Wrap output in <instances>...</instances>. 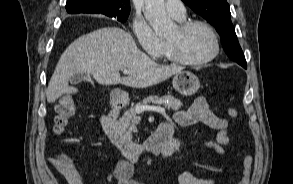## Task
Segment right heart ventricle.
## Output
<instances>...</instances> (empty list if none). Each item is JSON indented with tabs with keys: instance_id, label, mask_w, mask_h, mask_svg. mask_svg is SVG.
I'll use <instances>...</instances> for the list:
<instances>
[{
	"instance_id": "e07e8e85",
	"label": "right heart ventricle",
	"mask_w": 293,
	"mask_h": 184,
	"mask_svg": "<svg viewBox=\"0 0 293 184\" xmlns=\"http://www.w3.org/2000/svg\"><path fill=\"white\" fill-rule=\"evenodd\" d=\"M183 19L179 20V21H182ZM161 58H164L166 60H172L171 57H170V54H169V49H168V44L167 42H164V47H163V50L160 54Z\"/></svg>"
}]
</instances>
